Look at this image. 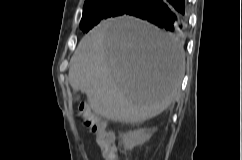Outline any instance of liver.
Returning a JSON list of instances; mask_svg holds the SVG:
<instances>
[{"label": "liver", "mask_w": 242, "mask_h": 160, "mask_svg": "<svg viewBox=\"0 0 242 160\" xmlns=\"http://www.w3.org/2000/svg\"><path fill=\"white\" fill-rule=\"evenodd\" d=\"M70 64L73 91L85 93L96 114L134 124L159 115L175 100L185 53L177 39L122 16L85 35Z\"/></svg>", "instance_id": "obj_1"}]
</instances>
